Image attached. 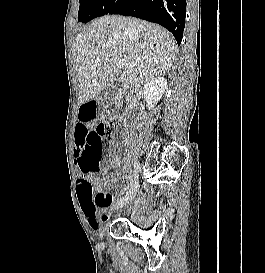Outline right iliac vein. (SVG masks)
I'll return each instance as SVG.
<instances>
[{
	"label": "right iliac vein",
	"mask_w": 265,
	"mask_h": 273,
	"mask_svg": "<svg viewBox=\"0 0 265 273\" xmlns=\"http://www.w3.org/2000/svg\"><path fill=\"white\" fill-rule=\"evenodd\" d=\"M139 185L138 182H135L131 189L129 190V192L123 197L121 198L119 201H117L113 206L112 209H119L121 207H123L124 205L128 204L131 200H133V198L135 197L137 191H138Z\"/></svg>",
	"instance_id": "obj_1"
}]
</instances>
